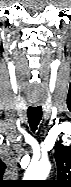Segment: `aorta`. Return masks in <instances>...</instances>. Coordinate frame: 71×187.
Wrapping results in <instances>:
<instances>
[{
  "mask_svg": "<svg viewBox=\"0 0 71 187\" xmlns=\"http://www.w3.org/2000/svg\"><path fill=\"white\" fill-rule=\"evenodd\" d=\"M50 170L51 164L48 160L31 163L26 170L24 178L26 180H45Z\"/></svg>",
  "mask_w": 71,
  "mask_h": 187,
  "instance_id": "aorta-1",
  "label": "aorta"
}]
</instances>
